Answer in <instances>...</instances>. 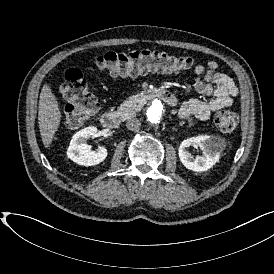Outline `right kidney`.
<instances>
[{
  "mask_svg": "<svg viewBox=\"0 0 274 274\" xmlns=\"http://www.w3.org/2000/svg\"><path fill=\"white\" fill-rule=\"evenodd\" d=\"M97 136H99V131L94 126H89L76 132L67 149L68 158L83 166H93L104 161L108 154L107 149L100 146L93 151L91 146L87 144V139Z\"/></svg>",
  "mask_w": 274,
  "mask_h": 274,
  "instance_id": "obj_1",
  "label": "right kidney"
}]
</instances>
